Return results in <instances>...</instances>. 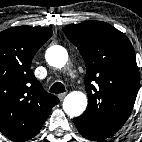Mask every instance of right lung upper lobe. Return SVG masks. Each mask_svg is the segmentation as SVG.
<instances>
[{"label":"right lung upper lobe","mask_w":142,"mask_h":142,"mask_svg":"<svg viewBox=\"0 0 142 142\" xmlns=\"http://www.w3.org/2000/svg\"><path fill=\"white\" fill-rule=\"evenodd\" d=\"M46 27L20 26L0 33V132L14 141L38 134L59 99L43 90L31 67L51 37Z\"/></svg>","instance_id":"obj_1"}]
</instances>
